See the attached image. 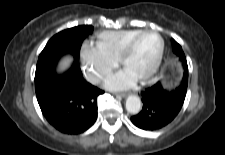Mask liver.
Instances as JSON below:
<instances>
[{
  "label": "liver",
  "instance_id": "liver-1",
  "mask_svg": "<svg viewBox=\"0 0 225 155\" xmlns=\"http://www.w3.org/2000/svg\"><path fill=\"white\" fill-rule=\"evenodd\" d=\"M73 58L71 56H66L61 59L58 65V71H64L71 65Z\"/></svg>",
  "mask_w": 225,
  "mask_h": 155
}]
</instances>
